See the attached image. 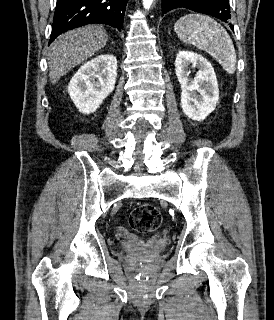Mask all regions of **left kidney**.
Here are the masks:
<instances>
[{"instance_id": "obj_1", "label": "left kidney", "mask_w": 274, "mask_h": 320, "mask_svg": "<svg viewBox=\"0 0 274 320\" xmlns=\"http://www.w3.org/2000/svg\"><path fill=\"white\" fill-rule=\"evenodd\" d=\"M190 64L197 68L195 78H189ZM175 72L181 84V108L190 120L202 122L214 112L219 100L216 74L208 60L194 52H178Z\"/></svg>"}]
</instances>
